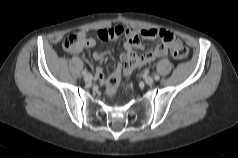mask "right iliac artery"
Listing matches in <instances>:
<instances>
[{"instance_id": "obj_1", "label": "right iliac artery", "mask_w": 238, "mask_h": 158, "mask_svg": "<svg viewBox=\"0 0 238 158\" xmlns=\"http://www.w3.org/2000/svg\"><path fill=\"white\" fill-rule=\"evenodd\" d=\"M82 74L85 76L87 74V71L86 70H83L82 71Z\"/></svg>"}]
</instances>
